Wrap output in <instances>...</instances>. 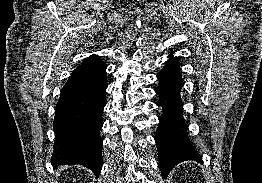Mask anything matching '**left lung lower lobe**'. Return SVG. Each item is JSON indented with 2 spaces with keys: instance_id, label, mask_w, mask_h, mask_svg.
<instances>
[{
  "instance_id": "left-lung-lower-lobe-1",
  "label": "left lung lower lobe",
  "mask_w": 262,
  "mask_h": 183,
  "mask_svg": "<svg viewBox=\"0 0 262 183\" xmlns=\"http://www.w3.org/2000/svg\"><path fill=\"white\" fill-rule=\"evenodd\" d=\"M159 85L156 93L160 99L156 103L162 107V116L155 136L158 148L159 167L164 176L180 162L194 160L202 163L201 156L192 146L183 119L180 91L183 79L177 57L170 56L164 68L157 74Z\"/></svg>"
}]
</instances>
